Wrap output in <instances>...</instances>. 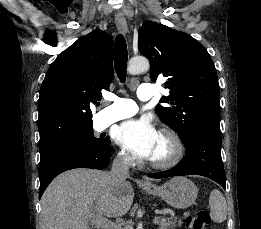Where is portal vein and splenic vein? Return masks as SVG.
I'll return each mask as SVG.
<instances>
[{"instance_id": "18ae733b", "label": "portal vein and splenic vein", "mask_w": 261, "mask_h": 229, "mask_svg": "<svg viewBox=\"0 0 261 229\" xmlns=\"http://www.w3.org/2000/svg\"><path fill=\"white\" fill-rule=\"evenodd\" d=\"M151 222L153 225H157L158 224V219L157 218H152ZM96 225L97 227H95V229H121L122 225H115V223H112V221H108V219H103V217H101V219H98V221H96Z\"/></svg>"}]
</instances>
